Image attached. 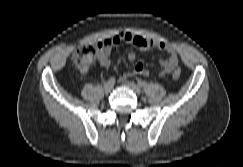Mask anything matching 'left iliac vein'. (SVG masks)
Instances as JSON below:
<instances>
[{
    "label": "left iliac vein",
    "mask_w": 243,
    "mask_h": 167,
    "mask_svg": "<svg viewBox=\"0 0 243 167\" xmlns=\"http://www.w3.org/2000/svg\"><path fill=\"white\" fill-rule=\"evenodd\" d=\"M123 86L131 89L134 93H136L137 95L141 94V89L139 86H137L135 83L131 82V81H124L123 82Z\"/></svg>",
    "instance_id": "4c4485c4"
}]
</instances>
